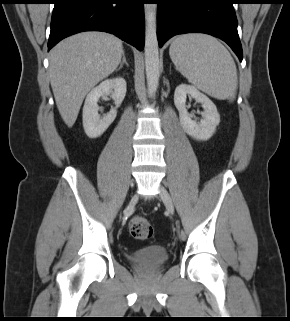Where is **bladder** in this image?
<instances>
[{"instance_id":"1","label":"bladder","mask_w":290,"mask_h":321,"mask_svg":"<svg viewBox=\"0 0 290 321\" xmlns=\"http://www.w3.org/2000/svg\"><path fill=\"white\" fill-rule=\"evenodd\" d=\"M127 259L134 266L159 268L169 260V251L159 245H148L128 254Z\"/></svg>"}]
</instances>
